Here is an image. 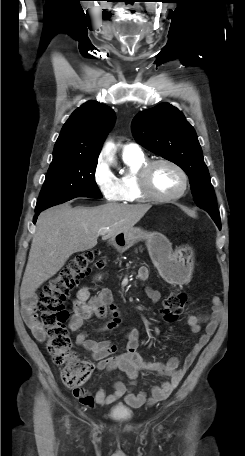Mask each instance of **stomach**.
Here are the masks:
<instances>
[{
    "instance_id": "obj_1",
    "label": "stomach",
    "mask_w": 245,
    "mask_h": 456,
    "mask_svg": "<svg viewBox=\"0 0 245 456\" xmlns=\"http://www.w3.org/2000/svg\"><path fill=\"white\" fill-rule=\"evenodd\" d=\"M142 240L146 241L152 262L166 281L173 284L187 281L193 265V251L188 245H182L173 251L164 235L138 227L117 235L112 239V244L123 251Z\"/></svg>"
}]
</instances>
